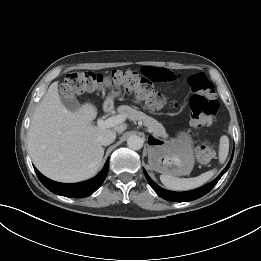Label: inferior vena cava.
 <instances>
[{
  "mask_svg": "<svg viewBox=\"0 0 261 261\" xmlns=\"http://www.w3.org/2000/svg\"><path fill=\"white\" fill-rule=\"evenodd\" d=\"M115 138H116L115 131L108 130L99 137V142L101 145L107 146L113 143L115 141Z\"/></svg>",
  "mask_w": 261,
  "mask_h": 261,
  "instance_id": "obj_1",
  "label": "inferior vena cava"
}]
</instances>
